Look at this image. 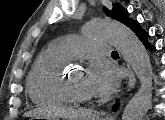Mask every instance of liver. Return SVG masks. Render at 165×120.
Returning <instances> with one entry per match:
<instances>
[{
  "label": "liver",
  "mask_w": 165,
  "mask_h": 120,
  "mask_svg": "<svg viewBox=\"0 0 165 120\" xmlns=\"http://www.w3.org/2000/svg\"><path fill=\"white\" fill-rule=\"evenodd\" d=\"M47 115L48 116H55V117H61L65 118L66 120H77L81 117H84L89 114V111L87 110H75L73 108H64V107H56L52 109H34L32 111L26 112L24 116L26 117H36L41 115Z\"/></svg>",
  "instance_id": "liver-1"
}]
</instances>
